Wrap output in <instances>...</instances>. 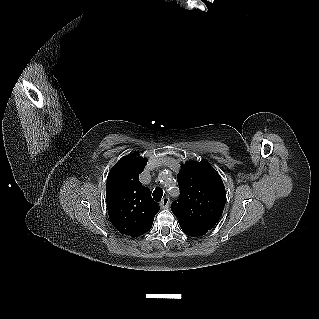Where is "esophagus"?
<instances>
[{"mask_svg":"<svg viewBox=\"0 0 319 319\" xmlns=\"http://www.w3.org/2000/svg\"><path fill=\"white\" fill-rule=\"evenodd\" d=\"M160 206L162 209H168L170 206V200L167 196H165L161 202H160Z\"/></svg>","mask_w":319,"mask_h":319,"instance_id":"esophagus-1","label":"esophagus"}]
</instances>
